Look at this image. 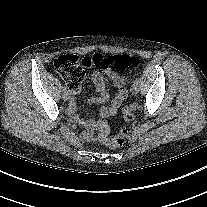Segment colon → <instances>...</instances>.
Wrapping results in <instances>:
<instances>
[{
  "mask_svg": "<svg viewBox=\"0 0 207 207\" xmlns=\"http://www.w3.org/2000/svg\"><path fill=\"white\" fill-rule=\"evenodd\" d=\"M139 64L140 61L137 57L128 54L113 56L93 55L81 59L75 55L68 54L61 55L53 61L54 69L71 91H76L80 88L86 68L97 67L105 73L109 70L122 72L128 68H136ZM123 118L126 123H130L133 120L132 106L127 105L123 108ZM97 129L99 130L97 136L88 131L83 134L84 139L92 143L101 142L110 148L123 146L128 134V129L124 127L117 135L110 136L109 126L103 120L97 122Z\"/></svg>",
  "mask_w": 207,
  "mask_h": 207,
  "instance_id": "5ec220e1",
  "label": "colon"
}]
</instances>
